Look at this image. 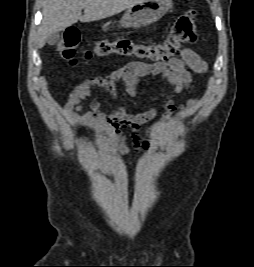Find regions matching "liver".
<instances>
[{
  "mask_svg": "<svg viewBox=\"0 0 254 267\" xmlns=\"http://www.w3.org/2000/svg\"><path fill=\"white\" fill-rule=\"evenodd\" d=\"M144 0H44L37 46L43 48L47 38L81 22H92L116 15ZM84 9V15L81 11Z\"/></svg>",
  "mask_w": 254,
  "mask_h": 267,
  "instance_id": "6515ba94",
  "label": "liver"
}]
</instances>
